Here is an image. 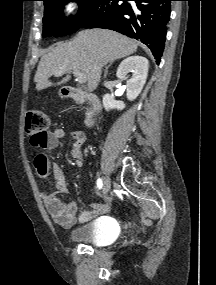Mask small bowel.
<instances>
[{
  "label": "small bowel",
  "instance_id": "1",
  "mask_svg": "<svg viewBox=\"0 0 216 285\" xmlns=\"http://www.w3.org/2000/svg\"><path fill=\"white\" fill-rule=\"evenodd\" d=\"M65 134V131L60 128L48 133V143L44 149L52 150L57 148ZM68 134L72 139L70 155L74 159L75 164L81 166L84 159L82 147L85 143L86 136L81 130H71ZM35 167L41 177H45L48 174L50 167L53 169L55 175L54 191L49 194H44L43 201L49 215L58 225L70 227L76 223H84L99 214L105 213L109 209L108 203L93 204L90 209L84 210L79 216H76V203L72 201L65 202L59 197L60 194L67 191V179L61 167L57 163L51 162L43 154H39L35 158Z\"/></svg>",
  "mask_w": 216,
  "mask_h": 285
}]
</instances>
